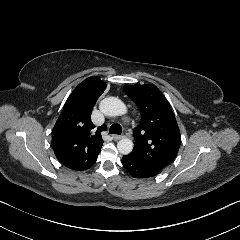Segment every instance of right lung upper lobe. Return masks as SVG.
<instances>
[{
  "label": "right lung upper lobe",
  "instance_id": "right-lung-upper-lobe-1",
  "mask_svg": "<svg viewBox=\"0 0 240 240\" xmlns=\"http://www.w3.org/2000/svg\"><path fill=\"white\" fill-rule=\"evenodd\" d=\"M106 84L92 76L80 83L68 97L52 132V146L57 159L73 170L92 166L103 145L102 125L95 129L91 112Z\"/></svg>",
  "mask_w": 240,
  "mask_h": 240
}]
</instances>
